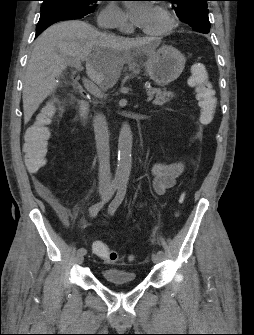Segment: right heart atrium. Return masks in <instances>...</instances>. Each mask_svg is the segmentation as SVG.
<instances>
[{"mask_svg":"<svg viewBox=\"0 0 254 335\" xmlns=\"http://www.w3.org/2000/svg\"><path fill=\"white\" fill-rule=\"evenodd\" d=\"M102 25H115L117 29L126 31L129 28L124 12L115 4L103 8L97 19Z\"/></svg>","mask_w":254,"mask_h":335,"instance_id":"d8ad5b80","label":"right heart atrium"}]
</instances>
